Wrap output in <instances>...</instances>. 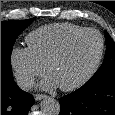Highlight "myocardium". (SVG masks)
Here are the masks:
<instances>
[{"mask_svg":"<svg viewBox=\"0 0 115 115\" xmlns=\"http://www.w3.org/2000/svg\"><path fill=\"white\" fill-rule=\"evenodd\" d=\"M87 33H95L99 37L100 49H99L98 56H97L94 64L92 65V67L89 69V71L85 75H83L80 79H78L75 82L68 84V85H59V87L63 91H74L76 89H79L80 87L85 85L95 75V73L97 72V70L100 67V64H101L103 56H104V51H105V41H104L102 34L97 29L85 28V29L71 35L55 51V53L49 58V60L47 61L46 65H45L46 72L48 73V75H50V71H51L52 67L66 55V53L69 51L72 44L78 38H80L81 36H83L84 34H87Z\"/></svg>","mask_w":115,"mask_h":115,"instance_id":"myocardium-1","label":"myocardium"}]
</instances>
